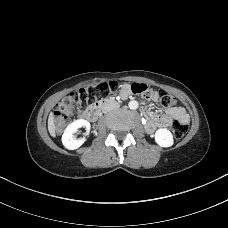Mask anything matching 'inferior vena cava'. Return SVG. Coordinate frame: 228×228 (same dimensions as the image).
Segmentation results:
<instances>
[{
  "label": "inferior vena cava",
  "instance_id": "obj_1",
  "mask_svg": "<svg viewBox=\"0 0 228 228\" xmlns=\"http://www.w3.org/2000/svg\"><path fill=\"white\" fill-rule=\"evenodd\" d=\"M114 108H116V105L104 107L103 112L104 113L109 112V111L113 110Z\"/></svg>",
  "mask_w": 228,
  "mask_h": 228
}]
</instances>
